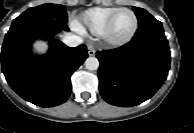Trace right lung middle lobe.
<instances>
[{
  "mask_svg": "<svg viewBox=\"0 0 194 133\" xmlns=\"http://www.w3.org/2000/svg\"><path fill=\"white\" fill-rule=\"evenodd\" d=\"M28 20H58L66 23L67 13L63 5L44 4L29 8L19 17L14 19L12 25Z\"/></svg>",
  "mask_w": 194,
  "mask_h": 133,
  "instance_id": "1",
  "label": "right lung middle lobe"
}]
</instances>
